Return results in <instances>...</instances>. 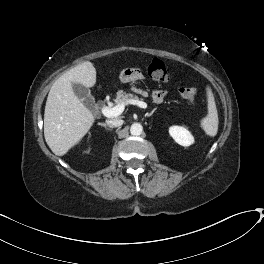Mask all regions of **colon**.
Returning <instances> with one entry per match:
<instances>
[{
  "instance_id": "5ec220e1",
  "label": "colon",
  "mask_w": 264,
  "mask_h": 264,
  "mask_svg": "<svg viewBox=\"0 0 264 264\" xmlns=\"http://www.w3.org/2000/svg\"><path fill=\"white\" fill-rule=\"evenodd\" d=\"M148 75L156 81H166L168 79V70L165 64L158 60L154 59L148 66ZM180 96L184 100L193 101L197 96V90L192 87H181L179 89Z\"/></svg>"
}]
</instances>
